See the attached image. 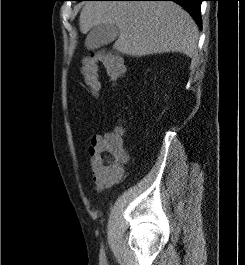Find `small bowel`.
<instances>
[{"mask_svg":"<svg viewBox=\"0 0 245 265\" xmlns=\"http://www.w3.org/2000/svg\"><path fill=\"white\" fill-rule=\"evenodd\" d=\"M106 135H95L92 137L90 141V146L88 149V153L91 158V172H92V183L96 191L102 192L110 187H112L116 183V179H109L99 171H97L93 165H92V159L99 148V146L102 144L104 138Z\"/></svg>","mask_w":245,"mask_h":265,"instance_id":"c3829d8e","label":"small bowel"}]
</instances>
